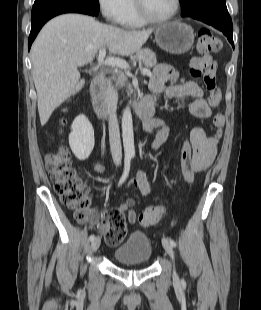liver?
Wrapping results in <instances>:
<instances>
[{
    "mask_svg": "<svg viewBox=\"0 0 261 310\" xmlns=\"http://www.w3.org/2000/svg\"><path fill=\"white\" fill-rule=\"evenodd\" d=\"M152 32L124 30L81 14H63L50 20L31 48L41 125L83 88L85 79L80 78L79 66L92 62L106 46L112 54L131 55L140 50Z\"/></svg>",
    "mask_w": 261,
    "mask_h": 310,
    "instance_id": "6515ba94",
    "label": "liver"
}]
</instances>
